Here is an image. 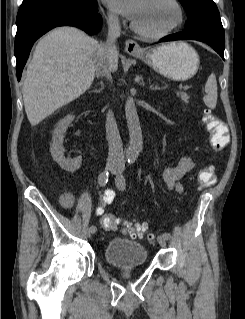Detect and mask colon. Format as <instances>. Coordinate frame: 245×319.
Returning a JSON list of instances; mask_svg holds the SVG:
<instances>
[{"label": "colon", "instance_id": "colon-1", "mask_svg": "<svg viewBox=\"0 0 245 319\" xmlns=\"http://www.w3.org/2000/svg\"><path fill=\"white\" fill-rule=\"evenodd\" d=\"M206 130L209 133L210 145L214 151L220 152L228 145V134L224 123L212 112L206 111L203 117ZM200 187L212 186L216 182V169L210 165L198 174ZM72 203V197L69 194L64 195L63 204L69 207ZM119 219L114 215L108 214L102 218L101 225L107 231H116ZM124 232L132 238H143L146 235L147 227L139 223H126ZM152 239V235H148Z\"/></svg>", "mask_w": 245, "mask_h": 319}]
</instances>
